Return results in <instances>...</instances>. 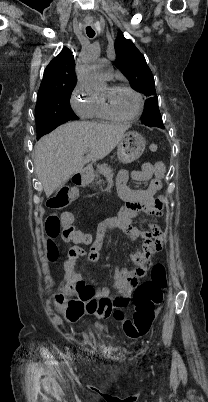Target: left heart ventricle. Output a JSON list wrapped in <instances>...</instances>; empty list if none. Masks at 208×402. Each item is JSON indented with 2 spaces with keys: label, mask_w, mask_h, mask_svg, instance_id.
Returning <instances> with one entry per match:
<instances>
[{
  "label": "left heart ventricle",
  "mask_w": 208,
  "mask_h": 402,
  "mask_svg": "<svg viewBox=\"0 0 208 402\" xmlns=\"http://www.w3.org/2000/svg\"><path fill=\"white\" fill-rule=\"evenodd\" d=\"M104 89L99 94H101ZM112 103L115 111L122 116H132L136 113L139 106L136 95L125 89H119L114 93Z\"/></svg>",
  "instance_id": "left-heart-ventricle-1"
}]
</instances>
